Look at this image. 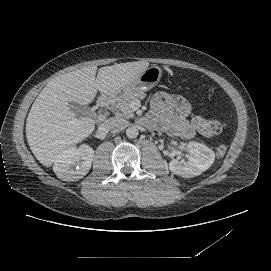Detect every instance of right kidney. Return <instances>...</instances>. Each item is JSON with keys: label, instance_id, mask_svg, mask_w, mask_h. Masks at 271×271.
Returning a JSON list of instances; mask_svg holds the SVG:
<instances>
[{"label": "right kidney", "instance_id": "obj_1", "mask_svg": "<svg viewBox=\"0 0 271 271\" xmlns=\"http://www.w3.org/2000/svg\"><path fill=\"white\" fill-rule=\"evenodd\" d=\"M94 151L88 145L67 147L53 163V172L63 181H77L91 167Z\"/></svg>", "mask_w": 271, "mask_h": 271}]
</instances>
